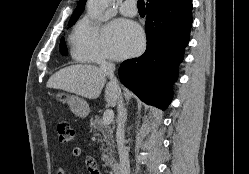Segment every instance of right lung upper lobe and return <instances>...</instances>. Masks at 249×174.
Listing matches in <instances>:
<instances>
[{
	"label": "right lung upper lobe",
	"mask_w": 249,
	"mask_h": 174,
	"mask_svg": "<svg viewBox=\"0 0 249 174\" xmlns=\"http://www.w3.org/2000/svg\"><path fill=\"white\" fill-rule=\"evenodd\" d=\"M147 1H148V3L146 4L147 8H150V7L160 6L162 4L169 3L175 0H147ZM85 3H86V0H80L78 2L77 8L72 14L69 22H74V21L76 22V20L79 18V16L84 10Z\"/></svg>",
	"instance_id": "1"
}]
</instances>
